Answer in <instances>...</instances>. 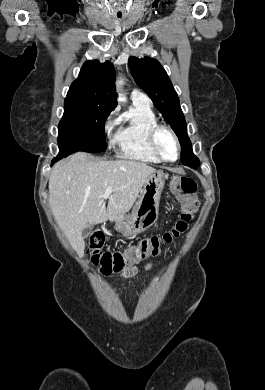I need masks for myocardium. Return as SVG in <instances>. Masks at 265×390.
I'll return each instance as SVG.
<instances>
[{
  "mask_svg": "<svg viewBox=\"0 0 265 390\" xmlns=\"http://www.w3.org/2000/svg\"><path fill=\"white\" fill-rule=\"evenodd\" d=\"M162 131L168 132L172 136V138L175 142L176 156L174 159H167L162 154V152L160 151V149L158 147V143H157L158 135ZM147 140H148V144L150 146V149L160 159V161L166 162V163H173V162L178 160V158L180 156V152H181L180 141H179L178 136L176 135L175 131L170 126L165 125V124H160V123L153 125L148 131Z\"/></svg>",
  "mask_w": 265,
  "mask_h": 390,
  "instance_id": "myocardium-1",
  "label": "myocardium"
}]
</instances>
